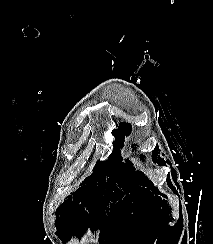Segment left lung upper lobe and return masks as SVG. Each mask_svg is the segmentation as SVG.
Masks as SVG:
<instances>
[{
  "instance_id": "obj_1",
  "label": "left lung upper lobe",
  "mask_w": 213,
  "mask_h": 244,
  "mask_svg": "<svg viewBox=\"0 0 213 244\" xmlns=\"http://www.w3.org/2000/svg\"><path fill=\"white\" fill-rule=\"evenodd\" d=\"M119 131L122 132V134H126L128 136L131 133V125L123 122L120 124Z\"/></svg>"
}]
</instances>
